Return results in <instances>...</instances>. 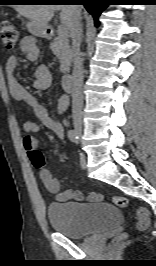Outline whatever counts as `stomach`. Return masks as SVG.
Masks as SVG:
<instances>
[{
  "label": "stomach",
  "instance_id": "1",
  "mask_svg": "<svg viewBox=\"0 0 156 266\" xmlns=\"http://www.w3.org/2000/svg\"><path fill=\"white\" fill-rule=\"evenodd\" d=\"M29 31L34 35H42L45 32L44 28L37 27L33 25L31 22L27 25Z\"/></svg>",
  "mask_w": 156,
  "mask_h": 266
}]
</instances>
